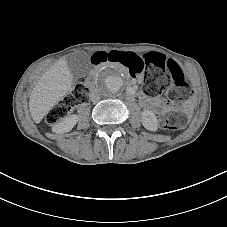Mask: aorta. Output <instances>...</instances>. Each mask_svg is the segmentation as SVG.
Instances as JSON below:
<instances>
[{
    "label": "aorta",
    "instance_id": "762f6f07",
    "mask_svg": "<svg viewBox=\"0 0 227 227\" xmlns=\"http://www.w3.org/2000/svg\"><path fill=\"white\" fill-rule=\"evenodd\" d=\"M123 74L114 67L104 68L96 79V88L104 96L119 94L124 88Z\"/></svg>",
    "mask_w": 227,
    "mask_h": 227
}]
</instances>
